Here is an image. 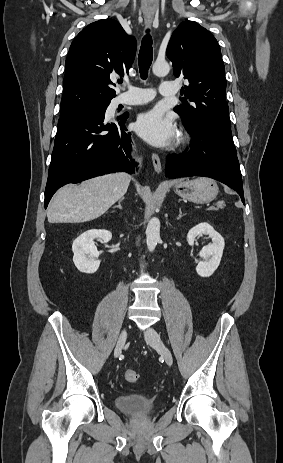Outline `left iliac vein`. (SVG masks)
Instances as JSON below:
<instances>
[{
  "instance_id": "1",
  "label": "left iliac vein",
  "mask_w": 283,
  "mask_h": 463,
  "mask_svg": "<svg viewBox=\"0 0 283 463\" xmlns=\"http://www.w3.org/2000/svg\"><path fill=\"white\" fill-rule=\"evenodd\" d=\"M145 340L147 344L160 352L167 365L171 366L173 364V356L171 351L162 342L159 334L153 328H148L146 330Z\"/></svg>"
}]
</instances>
